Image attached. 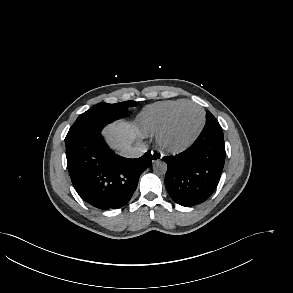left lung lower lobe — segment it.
<instances>
[{"instance_id": "1", "label": "left lung lower lobe", "mask_w": 293, "mask_h": 293, "mask_svg": "<svg viewBox=\"0 0 293 293\" xmlns=\"http://www.w3.org/2000/svg\"><path fill=\"white\" fill-rule=\"evenodd\" d=\"M168 169L165 186L171 198L186 207L204 202L216 189L225 162L223 131L215 120L193 145L173 157H163Z\"/></svg>"}]
</instances>
